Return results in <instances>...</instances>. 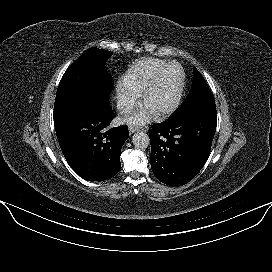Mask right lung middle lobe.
<instances>
[{"instance_id":"obj_1","label":"right lung middle lobe","mask_w":272,"mask_h":272,"mask_svg":"<svg viewBox=\"0 0 272 272\" xmlns=\"http://www.w3.org/2000/svg\"><path fill=\"white\" fill-rule=\"evenodd\" d=\"M112 52L92 47L64 73L54 104V125L62 122L76 106L97 103L110 106L113 78L104 66Z\"/></svg>"}]
</instances>
